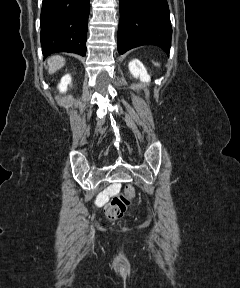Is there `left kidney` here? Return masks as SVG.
I'll return each mask as SVG.
<instances>
[{"mask_svg": "<svg viewBox=\"0 0 240 288\" xmlns=\"http://www.w3.org/2000/svg\"><path fill=\"white\" fill-rule=\"evenodd\" d=\"M128 67L133 77L139 78L140 81L146 83L150 81V76L148 75L146 68L138 59L130 61Z\"/></svg>", "mask_w": 240, "mask_h": 288, "instance_id": "left-kidney-1", "label": "left kidney"}]
</instances>
